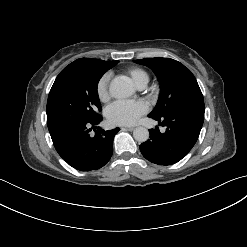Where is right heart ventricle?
I'll use <instances>...</instances> for the list:
<instances>
[{"instance_id": "obj_1", "label": "right heart ventricle", "mask_w": 247, "mask_h": 247, "mask_svg": "<svg viewBox=\"0 0 247 247\" xmlns=\"http://www.w3.org/2000/svg\"><path fill=\"white\" fill-rule=\"evenodd\" d=\"M126 73L137 87L145 86L149 81L148 72L140 67H129L126 69Z\"/></svg>"}]
</instances>
